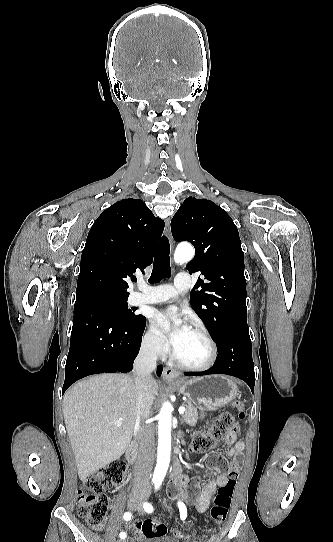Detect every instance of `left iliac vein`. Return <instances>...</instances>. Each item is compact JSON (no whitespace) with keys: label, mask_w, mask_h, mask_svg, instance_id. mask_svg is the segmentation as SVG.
Instances as JSON below:
<instances>
[{"label":"left iliac vein","mask_w":333,"mask_h":542,"mask_svg":"<svg viewBox=\"0 0 333 542\" xmlns=\"http://www.w3.org/2000/svg\"><path fill=\"white\" fill-rule=\"evenodd\" d=\"M138 512H139L140 514H143V513H144V511H143V509H142L141 507H140V508L138 507Z\"/></svg>","instance_id":"left-iliac-vein-1"}]
</instances>
